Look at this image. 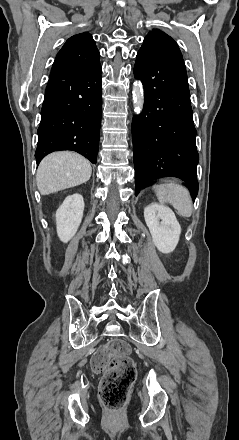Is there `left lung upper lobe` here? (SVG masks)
<instances>
[{"label":"left lung upper lobe","instance_id":"5c2ea615","mask_svg":"<svg viewBox=\"0 0 239 440\" xmlns=\"http://www.w3.org/2000/svg\"><path fill=\"white\" fill-rule=\"evenodd\" d=\"M140 50L169 57H181V51L177 43L167 34L159 30H153L147 34Z\"/></svg>","mask_w":239,"mask_h":440}]
</instances>
